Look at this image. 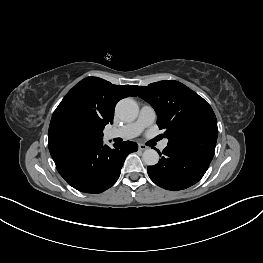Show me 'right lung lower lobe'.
Segmentation results:
<instances>
[{
  "label": "right lung lower lobe",
  "mask_w": 263,
  "mask_h": 263,
  "mask_svg": "<svg viewBox=\"0 0 263 263\" xmlns=\"http://www.w3.org/2000/svg\"><path fill=\"white\" fill-rule=\"evenodd\" d=\"M114 149L103 140L52 155L60 175L84 193H101L119 178L126 156L138 150L135 142L124 141Z\"/></svg>",
  "instance_id": "98d812e1"
}]
</instances>
